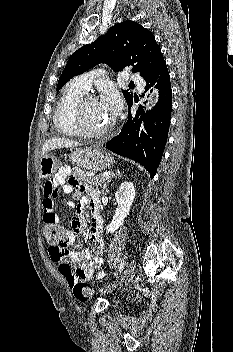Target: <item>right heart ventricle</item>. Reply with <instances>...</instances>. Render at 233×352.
Masks as SVG:
<instances>
[{
	"mask_svg": "<svg viewBox=\"0 0 233 352\" xmlns=\"http://www.w3.org/2000/svg\"><path fill=\"white\" fill-rule=\"evenodd\" d=\"M86 93L87 91L78 86L74 81L65 87L54 113V124L63 135L69 137L80 135L74 125L73 114L78 100Z\"/></svg>",
	"mask_w": 233,
	"mask_h": 352,
	"instance_id": "right-heart-ventricle-1",
	"label": "right heart ventricle"
}]
</instances>
